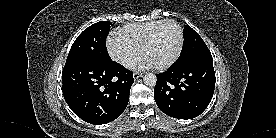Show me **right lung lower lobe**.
Wrapping results in <instances>:
<instances>
[{"mask_svg":"<svg viewBox=\"0 0 276 138\" xmlns=\"http://www.w3.org/2000/svg\"><path fill=\"white\" fill-rule=\"evenodd\" d=\"M63 95L70 109L91 124L115 120L125 110L133 73L112 61L80 59L66 63Z\"/></svg>","mask_w":276,"mask_h":138,"instance_id":"98d812e1","label":"right lung lower lobe"}]
</instances>
